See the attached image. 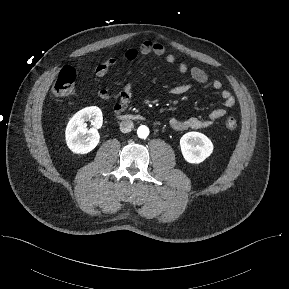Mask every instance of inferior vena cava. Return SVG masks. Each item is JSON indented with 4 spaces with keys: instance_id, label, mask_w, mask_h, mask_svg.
Masks as SVG:
<instances>
[{
    "instance_id": "inferior-vena-cava-1",
    "label": "inferior vena cava",
    "mask_w": 289,
    "mask_h": 289,
    "mask_svg": "<svg viewBox=\"0 0 289 289\" xmlns=\"http://www.w3.org/2000/svg\"><path fill=\"white\" fill-rule=\"evenodd\" d=\"M134 124L131 120H123L120 123V131L123 133H128L132 131Z\"/></svg>"
}]
</instances>
